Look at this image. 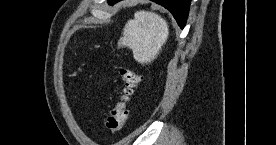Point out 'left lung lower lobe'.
Instances as JSON below:
<instances>
[{"instance_id":"left-lung-lower-lobe-1","label":"left lung lower lobe","mask_w":276,"mask_h":145,"mask_svg":"<svg viewBox=\"0 0 276 145\" xmlns=\"http://www.w3.org/2000/svg\"><path fill=\"white\" fill-rule=\"evenodd\" d=\"M120 0H108L110 5L118 2ZM157 4L162 5L166 9H168L177 20L178 25L183 29L189 12V6L191 0H152Z\"/></svg>"}]
</instances>
